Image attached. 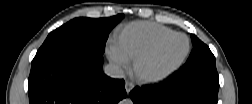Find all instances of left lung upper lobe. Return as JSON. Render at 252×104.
<instances>
[{
	"instance_id": "5c2ea615",
	"label": "left lung upper lobe",
	"mask_w": 252,
	"mask_h": 104,
	"mask_svg": "<svg viewBox=\"0 0 252 104\" xmlns=\"http://www.w3.org/2000/svg\"><path fill=\"white\" fill-rule=\"evenodd\" d=\"M191 39L193 50L187 62L181 69L188 70L197 67H216L215 57L209 47L194 34L191 35Z\"/></svg>"
}]
</instances>
